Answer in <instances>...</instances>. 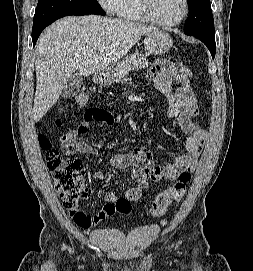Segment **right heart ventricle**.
<instances>
[{
	"label": "right heart ventricle",
	"instance_id": "obj_1",
	"mask_svg": "<svg viewBox=\"0 0 253 271\" xmlns=\"http://www.w3.org/2000/svg\"><path fill=\"white\" fill-rule=\"evenodd\" d=\"M116 14L129 21L150 22L143 11L141 0H121Z\"/></svg>",
	"mask_w": 253,
	"mask_h": 271
}]
</instances>
